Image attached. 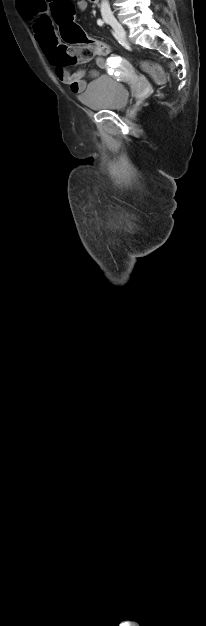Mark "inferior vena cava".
Masks as SVG:
<instances>
[{
  "label": "inferior vena cava",
  "instance_id": "602c4592",
  "mask_svg": "<svg viewBox=\"0 0 206 626\" xmlns=\"http://www.w3.org/2000/svg\"><path fill=\"white\" fill-rule=\"evenodd\" d=\"M101 14H102V16H112V12H111L108 0H102V2H101Z\"/></svg>",
  "mask_w": 206,
  "mask_h": 626
}]
</instances>
